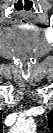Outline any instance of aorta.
<instances>
[{
  "label": "aorta",
  "mask_w": 53,
  "mask_h": 133,
  "mask_svg": "<svg viewBox=\"0 0 53 133\" xmlns=\"http://www.w3.org/2000/svg\"><path fill=\"white\" fill-rule=\"evenodd\" d=\"M15 129L21 133H32L35 130V126L29 122H21L16 125Z\"/></svg>",
  "instance_id": "aorta-1"
}]
</instances>
